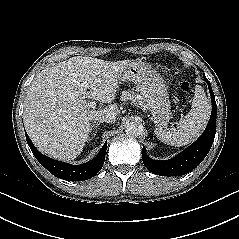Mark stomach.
I'll list each match as a JSON object with an SVG mask.
<instances>
[{
    "mask_svg": "<svg viewBox=\"0 0 239 239\" xmlns=\"http://www.w3.org/2000/svg\"><path fill=\"white\" fill-rule=\"evenodd\" d=\"M121 81H132L142 96V107L152 114L157 127H165L171 117V106L163 77L150 65L132 60L124 69Z\"/></svg>",
    "mask_w": 239,
    "mask_h": 239,
    "instance_id": "obj_1",
    "label": "stomach"
}]
</instances>
